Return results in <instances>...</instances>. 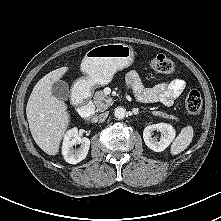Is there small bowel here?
Instances as JSON below:
<instances>
[{
    "instance_id": "obj_1",
    "label": "small bowel",
    "mask_w": 221,
    "mask_h": 221,
    "mask_svg": "<svg viewBox=\"0 0 221 221\" xmlns=\"http://www.w3.org/2000/svg\"><path fill=\"white\" fill-rule=\"evenodd\" d=\"M126 84L139 101L144 103L161 102L167 106L172 105L186 88V83L182 79H174L152 87H145L136 72L127 74Z\"/></svg>"
}]
</instances>
